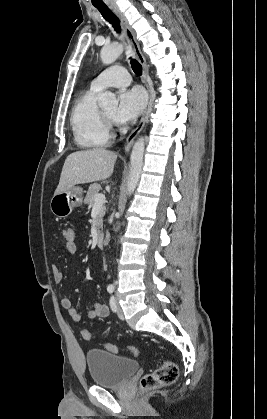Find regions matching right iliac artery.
Returning a JSON list of instances; mask_svg holds the SVG:
<instances>
[{
	"instance_id": "right-iliac-artery-1",
	"label": "right iliac artery",
	"mask_w": 267,
	"mask_h": 419,
	"mask_svg": "<svg viewBox=\"0 0 267 419\" xmlns=\"http://www.w3.org/2000/svg\"><path fill=\"white\" fill-rule=\"evenodd\" d=\"M107 291H108L109 293H113V291H114V287H113V286H108Z\"/></svg>"
}]
</instances>
